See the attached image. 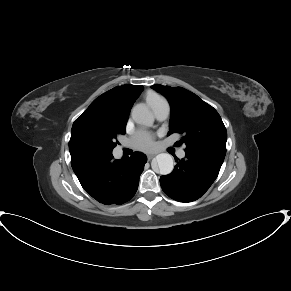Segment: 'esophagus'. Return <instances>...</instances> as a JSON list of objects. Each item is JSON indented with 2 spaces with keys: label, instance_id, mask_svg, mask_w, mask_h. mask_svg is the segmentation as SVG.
I'll return each instance as SVG.
<instances>
[{
  "label": "esophagus",
  "instance_id": "1",
  "mask_svg": "<svg viewBox=\"0 0 291 291\" xmlns=\"http://www.w3.org/2000/svg\"><path fill=\"white\" fill-rule=\"evenodd\" d=\"M156 156V154H148L147 155V158H148V160H150V159H152L153 157H155Z\"/></svg>",
  "mask_w": 291,
  "mask_h": 291
}]
</instances>
